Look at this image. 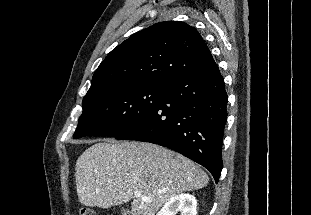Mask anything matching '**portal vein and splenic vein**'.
Listing matches in <instances>:
<instances>
[{"label": "portal vein and splenic vein", "mask_w": 311, "mask_h": 215, "mask_svg": "<svg viewBox=\"0 0 311 215\" xmlns=\"http://www.w3.org/2000/svg\"><path fill=\"white\" fill-rule=\"evenodd\" d=\"M134 197H141V193L139 191H135L134 192ZM142 200L143 201H150V198L146 197V196H142Z\"/></svg>", "instance_id": "portal-vein-and-splenic-vein-1"}]
</instances>
